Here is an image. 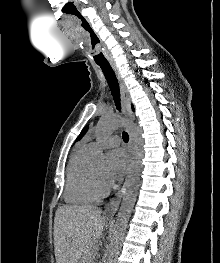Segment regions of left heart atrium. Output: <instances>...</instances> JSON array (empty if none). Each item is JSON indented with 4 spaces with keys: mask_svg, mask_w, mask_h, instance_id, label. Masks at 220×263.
<instances>
[{
    "mask_svg": "<svg viewBox=\"0 0 220 263\" xmlns=\"http://www.w3.org/2000/svg\"><path fill=\"white\" fill-rule=\"evenodd\" d=\"M128 168V158L123 150L116 149L110 152L108 168L105 178L109 184L120 180Z\"/></svg>",
    "mask_w": 220,
    "mask_h": 263,
    "instance_id": "1",
    "label": "left heart atrium"
}]
</instances>
